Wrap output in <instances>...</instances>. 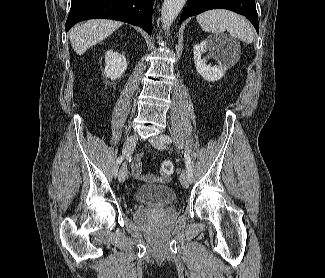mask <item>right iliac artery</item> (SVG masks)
I'll list each match as a JSON object with an SVG mask.
<instances>
[{
	"label": "right iliac artery",
	"instance_id": "right-iliac-artery-1",
	"mask_svg": "<svg viewBox=\"0 0 325 278\" xmlns=\"http://www.w3.org/2000/svg\"><path fill=\"white\" fill-rule=\"evenodd\" d=\"M123 159H124V156L122 155V156L118 157V159L116 160V163H115V166H114V169L112 172L114 177H117L118 167L122 163Z\"/></svg>",
	"mask_w": 325,
	"mask_h": 278
}]
</instances>
